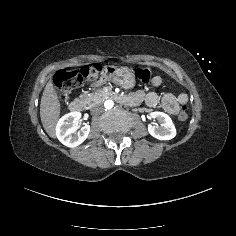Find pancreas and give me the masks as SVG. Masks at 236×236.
Segmentation results:
<instances>
[{
	"label": "pancreas",
	"mask_w": 236,
	"mask_h": 236,
	"mask_svg": "<svg viewBox=\"0 0 236 236\" xmlns=\"http://www.w3.org/2000/svg\"><path fill=\"white\" fill-rule=\"evenodd\" d=\"M110 95L111 92H103L102 90L98 89L95 92H90L89 94H86L84 97L79 96V99H81L85 103V109H90L96 103L103 102L105 99L109 98ZM134 110H138L140 112L147 111L146 108H136Z\"/></svg>",
	"instance_id": "obj_1"
}]
</instances>
